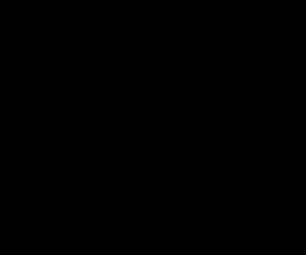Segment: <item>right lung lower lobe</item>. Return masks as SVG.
<instances>
[{"instance_id": "right-lung-lower-lobe-1", "label": "right lung lower lobe", "mask_w": 306, "mask_h": 255, "mask_svg": "<svg viewBox=\"0 0 306 255\" xmlns=\"http://www.w3.org/2000/svg\"><path fill=\"white\" fill-rule=\"evenodd\" d=\"M124 191V185L119 181V179H116L112 181L110 188L100 197V198H111L113 196H118L119 194H122Z\"/></svg>"}]
</instances>
